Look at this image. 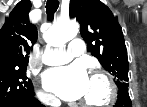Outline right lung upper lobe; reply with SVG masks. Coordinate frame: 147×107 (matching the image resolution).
I'll return each mask as SVG.
<instances>
[{
    "instance_id": "cb5924a9",
    "label": "right lung upper lobe",
    "mask_w": 147,
    "mask_h": 107,
    "mask_svg": "<svg viewBox=\"0 0 147 107\" xmlns=\"http://www.w3.org/2000/svg\"><path fill=\"white\" fill-rule=\"evenodd\" d=\"M30 0H21L0 30V72L27 66L37 41V28L29 22Z\"/></svg>"
}]
</instances>
